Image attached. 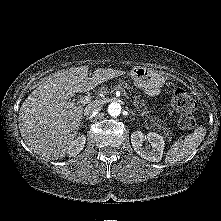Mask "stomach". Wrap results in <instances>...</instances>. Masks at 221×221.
<instances>
[{
    "label": "stomach",
    "mask_w": 221,
    "mask_h": 221,
    "mask_svg": "<svg viewBox=\"0 0 221 221\" xmlns=\"http://www.w3.org/2000/svg\"><path fill=\"white\" fill-rule=\"evenodd\" d=\"M130 75L135 86L150 96L158 95L166 80L162 73L141 66L134 67Z\"/></svg>",
    "instance_id": "0dacf381"
}]
</instances>
